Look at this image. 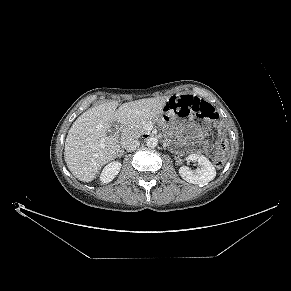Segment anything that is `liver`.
<instances>
[{"instance_id":"obj_1","label":"liver","mask_w":291,"mask_h":291,"mask_svg":"<svg viewBox=\"0 0 291 291\" xmlns=\"http://www.w3.org/2000/svg\"><path fill=\"white\" fill-rule=\"evenodd\" d=\"M168 99L169 96L145 98L119 107L118 101H109L85 111L72 124L65 141L64 159L70 172L80 181H92L118 152V141L107 134L111 124L153 120L163 112Z\"/></svg>"}]
</instances>
